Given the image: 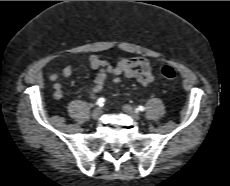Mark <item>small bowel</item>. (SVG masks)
Instances as JSON below:
<instances>
[{"label":"small bowel","instance_id":"c3829d8e","mask_svg":"<svg viewBox=\"0 0 230 186\" xmlns=\"http://www.w3.org/2000/svg\"><path fill=\"white\" fill-rule=\"evenodd\" d=\"M89 65L91 69L96 71V75L92 85L88 88L91 96L98 94L107 84H117L124 78H134L143 87H148L154 81L150 62L143 57L123 58L115 66H112L97 55L89 57ZM74 67L66 65L62 69V77L68 79L72 76ZM111 77L108 81V77ZM54 87V97L58 100L62 99L64 94L62 84L57 74L51 75Z\"/></svg>","mask_w":230,"mask_h":186}]
</instances>
